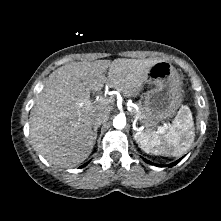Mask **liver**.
I'll list each match as a JSON object with an SVG mask.
<instances>
[{
	"instance_id": "obj_1",
	"label": "liver",
	"mask_w": 221,
	"mask_h": 221,
	"mask_svg": "<svg viewBox=\"0 0 221 221\" xmlns=\"http://www.w3.org/2000/svg\"><path fill=\"white\" fill-rule=\"evenodd\" d=\"M158 61L118 58L112 62H72L52 72L32 109L30 137L34 146L53 165L82 163L95 144L93 114L102 111L109 115L112 110L111 100L92 103L90 92L100 91L106 84L126 97L136 96Z\"/></svg>"
}]
</instances>
